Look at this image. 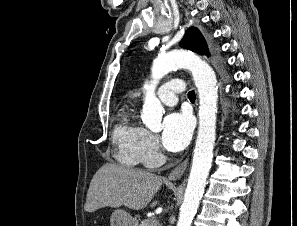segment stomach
<instances>
[{
	"instance_id": "stomach-1",
	"label": "stomach",
	"mask_w": 297,
	"mask_h": 226,
	"mask_svg": "<svg viewBox=\"0 0 297 226\" xmlns=\"http://www.w3.org/2000/svg\"><path fill=\"white\" fill-rule=\"evenodd\" d=\"M111 226H138V221L128 212L118 209L112 213Z\"/></svg>"
}]
</instances>
